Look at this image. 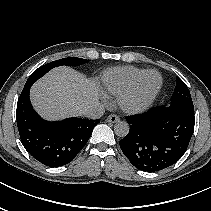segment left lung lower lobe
<instances>
[{
	"label": "left lung lower lobe",
	"instance_id": "0a47b994",
	"mask_svg": "<svg viewBox=\"0 0 211 211\" xmlns=\"http://www.w3.org/2000/svg\"><path fill=\"white\" fill-rule=\"evenodd\" d=\"M129 133L120 148L138 169L155 172L175 164L186 152L193 135L194 112L157 106L126 117Z\"/></svg>",
	"mask_w": 211,
	"mask_h": 211
}]
</instances>
